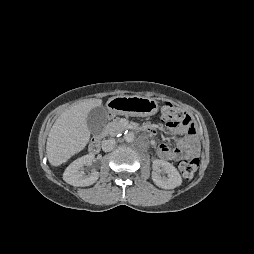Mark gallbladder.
I'll list each match as a JSON object with an SVG mask.
<instances>
[{"label": "gallbladder", "instance_id": "bac80fb5", "mask_svg": "<svg viewBox=\"0 0 254 254\" xmlns=\"http://www.w3.org/2000/svg\"><path fill=\"white\" fill-rule=\"evenodd\" d=\"M87 127L93 135H100L107 123V111L103 106L92 108L86 118Z\"/></svg>", "mask_w": 254, "mask_h": 254}]
</instances>
